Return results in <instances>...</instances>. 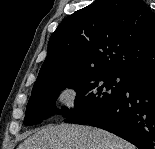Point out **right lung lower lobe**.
Listing matches in <instances>:
<instances>
[{
    "instance_id": "right-lung-lower-lobe-1",
    "label": "right lung lower lobe",
    "mask_w": 155,
    "mask_h": 149,
    "mask_svg": "<svg viewBox=\"0 0 155 149\" xmlns=\"http://www.w3.org/2000/svg\"><path fill=\"white\" fill-rule=\"evenodd\" d=\"M105 129L139 149H155V68L127 75L122 94L99 116L82 125Z\"/></svg>"
}]
</instances>
